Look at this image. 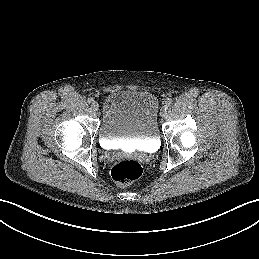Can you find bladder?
Masks as SVG:
<instances>
[{
	"mask_svg": "<svg viewBox=\"0 0 259 259\" xmlns=\"http://www.w3.org/2000/svg\"><path fill=\"white\" fill-rule=\"evenodd\" d=\"M158 110V99L151 92L122 90L109 93L102 103L99 139L105 143H152L158 139Z\"/></svg>",
	"mask_w": 259,
	"mask_h": 259,
	"instance_id": "bladder-1",
	"label": "bladder"
}]
</instances>
